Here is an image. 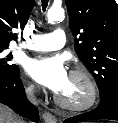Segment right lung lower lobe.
I'll return each mask as SVG.
<instances>
[{
	"instance_id": "obj_1",
	"label": "right lung lower lobe",
	"mask_w": 118,
	"mask_h": 123,
	"mask_svg": "<svg viewBox=\"0 0 118 123\" xmlns=\"http://www.w3.org/2000/svg\"><path fill=\"white\" fill-rule=\"evenodd\" d=\"M19 77L20 72L12 78H0V103L8 105L15 112L33 122H38V109L27 101Z\"/></svg>"
}]
</instances>
